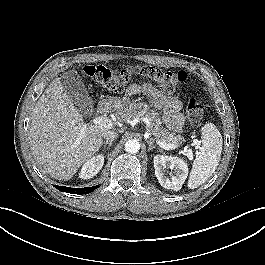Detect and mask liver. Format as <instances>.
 <instances>
[{
  "label": "liver",
  "mask_w": 265,
  "mask_h": 265,
  "mask_svg": "<svg viewBox=\"0 0 265 265\" xmlns=\"http://www.w3.org/2000/svg\"><path fill=\"white\" fill-rule=\"evenodd\" d=\"M124 106L123 101H115V108ZM111 129L113 126L85 123L64 91L61 79L55 78L34 107L29 145L36 162L47 174L68 181L98 152L103 144L102 134Z\"/></svg>",
  "instance_id": "liver-1"
}]
</instances>
